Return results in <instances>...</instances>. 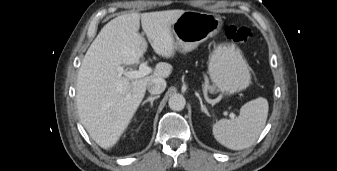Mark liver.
<instances>
[{"mask_svg": "<svg viewBox=\"0 0 337 171\" xmlns=\"http://www.w3.org/2000/svg\"><path fill=\"white\" fill-rule=\"evenodd\" d=\"M184 10L129 13L109 21L88 48L77 76L76 102L80 120L102 148L113 147L127 129L143 100L148 83L167 78L173 67L156 64L153 74L129 79L117 70L139 63L147 42L139 33L140 22L154 51L171 58L178 49L171 26Z\"/></svg>", "mask_w": 337, "mask_h": 171, "instance_id": "obj_1", "label": "liver"}]
</instances>
